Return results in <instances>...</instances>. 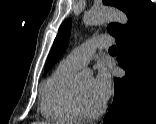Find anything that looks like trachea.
Returning a JSON list of instances; mask_svg holds the SVG:
<instances>
[{"instance_id": "trachea-1", "label": "trachea", "mask_w": 156, "mask_h": 124, "mask_svg": "<svg viewBox=\"0 0 156 124\" xmlns=\"http://www.w3.org/2000/svg\"><path fill=\"white\" fill-rule=\"evenodd\" d=\"M109 51H117V48L115 46H112L109 48Z\"/></svg>"}]
</instances>
